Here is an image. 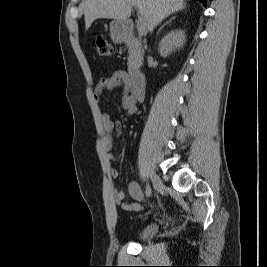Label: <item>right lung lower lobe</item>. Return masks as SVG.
<instances>
[{"label":"right lung lower lobe","instance_id":"1","mask_svg":"<svg viewBox=\"0 0 267 267\" xmlns=\"http://www.w3.org/2000/svg\"><path fill=\"white\" fill-rule=\"evenodd\" d=\"M198 1H200V2L203 3V4H205V1H206V0H198Z\"/></svg>","mask_w":267,"mask_h":267}]
</instances>
